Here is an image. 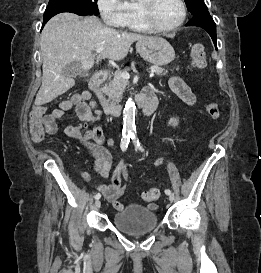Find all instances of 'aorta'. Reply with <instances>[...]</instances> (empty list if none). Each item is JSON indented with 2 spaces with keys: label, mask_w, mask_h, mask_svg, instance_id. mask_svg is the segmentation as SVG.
I'll use <instances>...</instances> for the list:
<instances>
[{
  "label": "aorta",
  "mask_w": 261,
  "mask_h": 273,
  "mask_svg": "<svg viewBox=\"0 0 261 273\" xmlns=\"http://www.w3.org/2000/svg\"><path fill=\"white\" fill-rule=\"evenodd\" d=\"M135 111L136 106L134 101L132 98H128L123 111L124 127L128 130L135 129Z\"/></svg>",
  "instance_id": "obj_1"
}]
</instances>
